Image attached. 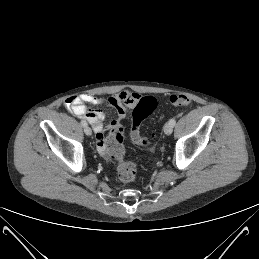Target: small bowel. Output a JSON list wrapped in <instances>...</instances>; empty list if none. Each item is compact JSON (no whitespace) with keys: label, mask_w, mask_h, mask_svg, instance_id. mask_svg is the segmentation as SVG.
Here are the masks:
<instances>
[{"label":"small bowel","mask_w":259,"mask_h":259,"mask_svg":"<svg viewBox=\"0 0 259 259\" xmlns=\"http://www.w3.org/2000/svg\"><path fill=\"white\" fill-rule=\"evenodd\" d=\"M140 95L129 91H121L111 95L105 99L96 97L91 94H82L80 96L70 97L65 101V105L75 115L86 119L93 127L96 135V142L99 151L105 152V137L106 127L103 123L105 113L100 109H90L85 104L100 105L106 104L116 109L119 120H124L127 117L128 109L135 107ZM120 124L119 121H112L110 128L113 125Z\"/></svg>","instance_id":"1"}]
</instances>
